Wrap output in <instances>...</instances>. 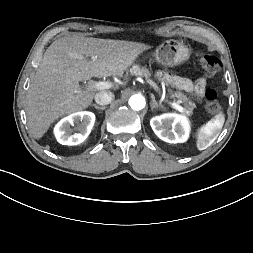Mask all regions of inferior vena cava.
<instances>
[{
	"mask_svg": "<svg viewBox=\"0 0 253 253\" xmlns=\"http://www.w3.org/2000/svg\"><path fill=\"white\" fill-rule=\"evenodd\" d=\"M95 102L99 105H108L114 99V94L110 91H101L96 93Z\"/></svg>",
	"mask_w": 253,
	"mask_h": 253,
	"instance_id": "inferior-vena-cava-1",
	"label": "inferior vena cava"
}]
</instances>
